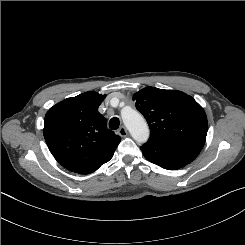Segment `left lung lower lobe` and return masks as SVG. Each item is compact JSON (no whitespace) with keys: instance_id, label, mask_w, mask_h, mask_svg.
<instances>
[{"instance_id":"obj_1","label":"left lung lower lobe","mask_w":245,"mask_h":245,"mask_svg":"<svg viewBox=\"0 0 245 245\" xmlns=\"http://www.w3.org/2000/svg\"><path fill=\"white\" fill-rule=\"evenodd\" d=\"M140 149L147 160L167 170H176L184 167L197 157L149 140Z\"/></svg>"}]
</instances>
